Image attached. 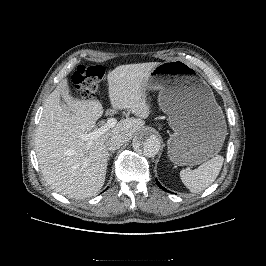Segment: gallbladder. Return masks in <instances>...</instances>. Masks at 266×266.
I'll list each match as a JSON object with an SVG mask.
<instances>
[{
	"mask_svg": "<svg viewBox=\"0 0 266 266\" xmlns=\"http://www.w3.org/2000/svg\"><path fill=\"white\" fill-rule=\"evenodd\" d=\"M62 106H63V108H64L66 111H68V108H67V106H66L65 104H62Z\"/></svg>",
	"mask_w": 266,
	"mask_h": 266,
	"instance_id": "obj_1",
	"label": "gallbladder"
}]
</instances>
